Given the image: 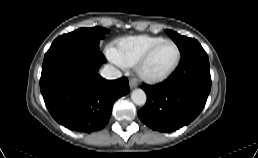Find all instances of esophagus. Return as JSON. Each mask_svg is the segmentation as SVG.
<instances>
[{"instance_id": "34e87169", "label": "esophagus", "mask_w": 258, "mask_h": 158, "mask_svg": "<svg viewBox=\"0 0 258 158\" xmlns=\"http://www.w3.org/2000/svg\"><path fill=\"white\" fill-rule=\"evenodd\" d=\"M129 86L131 89L138 86V80L136 78H130L129 80Z\"/></svg>"}]
</instances>
